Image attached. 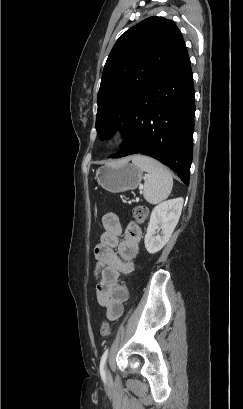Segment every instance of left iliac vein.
<instances>
[{
    "label": "left iliac vein",
    "mask_w": 243,
    "mask_h": 409,
    "mask_svg": "<svg viewBox=\"0 0 243 409\" xmlns=\"http://www.w3.org/2000/svg\"><path fill=\"white\" fill-rule=\"evenodd\" d=\"M105 370H106V377H107V379H108V380L111 379V374H110L109 369L106 367Z\"/></svg>",
    "instance_id": "1"
}]
</instances>
